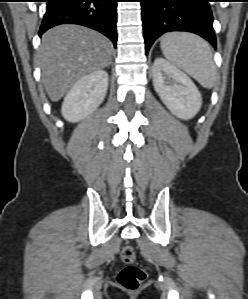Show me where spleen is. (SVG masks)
<instances>
[{"label": "spleen", "mask_w": 248, "mask_h": 299, "mask_svg": "<svg viewBox=\"0 0 248 299\" xmlns=\"http://www.w3.org/2000/svg\"><path fill=\"white\" fill-rule=\"evenodd\" d=\"M165 58L192 76L205 88H212L216 68L209 44L192 33L171 32L160 42Z\"/></svg>", "instance_id": "3e777b00"}]
</instances>
